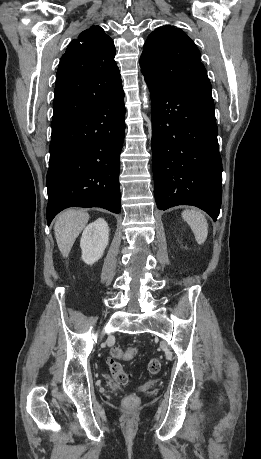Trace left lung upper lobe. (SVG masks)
I'll return each instance as SVG.
<instances>
[{
  "mask_svg": "<svg viewBox=\"0 0 261 459\" xmlns=\"http://www.w3.org/2000/svg\"><path fill=\"white\" fill-rule=\"evenodd\" d=\"M140 66L144 76L168 86L211 92L198 48L181 29L173 26L159 27L148 36Z\"/></svg>",
  "mask_w": 261,
  "mask_h": 459,
  "instance_id": "obj_1",
  "label": "left lung upper lobe"
}]
</instances>
